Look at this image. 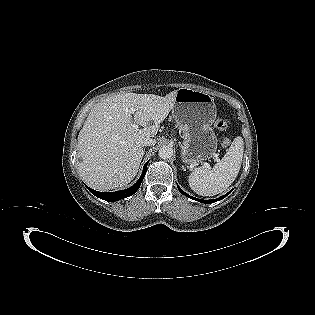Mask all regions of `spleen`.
I'll use <instances>...</instances> for the list:
<instances>
[{
    "instance_id": "3e777b00",
    "label": "spleen",
    "mask_w": 315,
    "mask_h": 315,
    "mask_svg": "<svg viewBox=\"0 0 315 315\" xmlns=\"http://www.w3.org/2000/svg\"><path fill=\"white\" fill-rule=\"evenodd\" d=\"M244 152L242 137H236L224 157L212 170L198 167L189 175L191 189L201 196H214L226 190L236 179Z\"/></svg>"
}]
</instances>
